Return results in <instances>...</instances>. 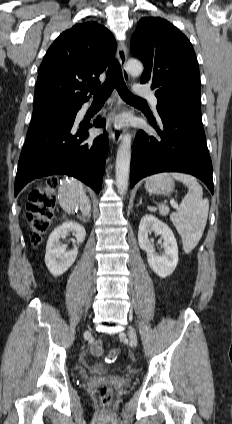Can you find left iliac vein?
Masks as SVG:
<instances>
[{
  "instance_id": "obj_1",
  "label": "left iliac vein",
  "mask_w": 232,
  "mask_h": 424,
  "mask_svg": "<svg viewBox=\"0 0 232 424\" xmlns=\"http://www.w3.org/2000/svg\"><path fill=\"white\" fill-rule=\"evenodd\" d=\"M128 335H129V340H130L132 347H136V345H137V335H136V332L134 331V329L132 327L129 328Z\"/></svg>"
}]
</instances>
